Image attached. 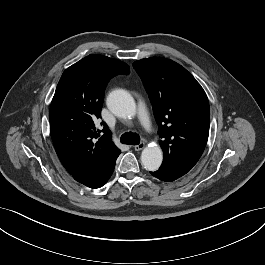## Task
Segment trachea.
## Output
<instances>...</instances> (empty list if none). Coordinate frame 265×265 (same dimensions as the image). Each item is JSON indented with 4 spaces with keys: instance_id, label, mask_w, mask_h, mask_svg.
<instances>
[{
    "instance_id": "3493384b",
    "label": "trachea",
    "mask_w": 265,
    "mask_h": 265,
    "mask_svg": "<svg viewBox=\"0 0 265 265\" xmlns=\"http://www.w3.org/2000/svg\"><path fill=\"white\" fill-rule=\"evenodd\" d=\"M120 141L123 144L138 145L140 143V137L137 134L129 132L121 135Z\"/></svg>"
}]
</instances>
